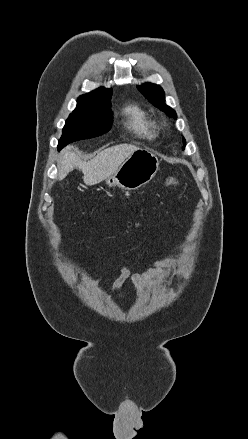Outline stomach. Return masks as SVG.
Masks as SVG:
<instances>
[{
    "label": "stomach",
    "mask_w": 248,
    "mask_h": 439,
    "mask_svg": "<svg viewBox=\"0 0 248 439\" xmlns=\"http://www.w3.org/2000/svg\"><path fill=\"white\" fill-rule=\"evenodd\" d=\"M159 168L157 156L148 149L140 148L133 152L118 168L106 179L109 187L118 186L123 190H137L149 183Z\"/></svg>",
    "instance_id": "stomach-1"
}]
</instances>
